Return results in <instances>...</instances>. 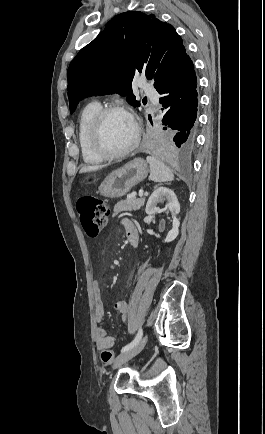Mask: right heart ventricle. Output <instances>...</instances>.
<instances>
[{
    "label": "right heart ventricle",
    "instance_id": "obj_1",
    "mask_svg": "<svg viewBox=\"0 0 265 434\" xmlns=\"http://www.w3.org/2000/svg\"><path fill=\"white\" fill-rule=\"evenodd\" d=\"M101 108L99 102L91 101L82 108L78 117L77 142L79 152L83 163L88 166L99 165L105 160L98 153L92 141L93 123Z\"/></svg>",
    "mask_w": 265,
    "mask_h": 434
}]
</instances>
